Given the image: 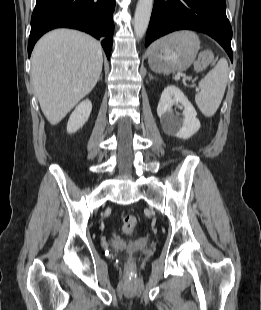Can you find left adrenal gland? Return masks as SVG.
Segmentation results:
<instances>
[{
	"instance_id": "1",
	"label": "left adrenal gland",
	"mask_w": 261,
	"mask_h": 310,
	"mask_svg": "<svg viewBox=\"0 0 261 310\" xmlns=\"http://www.w3.org/2000/svg\"><path fill=\"white\" fill-rule=\"evenodd\" d=\"M148 76L150 80L154 78L153 75H151L150 73L148 74Z\"/></svg>"
}]
</instances>
